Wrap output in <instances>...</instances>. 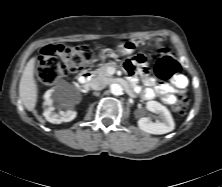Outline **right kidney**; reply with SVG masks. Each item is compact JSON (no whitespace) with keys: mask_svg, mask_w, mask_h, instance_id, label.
Listing matches in <instances>:
<instances>
[{"mask_svg":"<svg viewBox=\"0 0 222 187\" xmlns=\"http://www.w3.org/2000/svg\"><path fill=\"white\" fill-rule=\"evenodd\" d=\"M44 106H46V109L43 113L46 120L48 122L54 123V124H60L62 122H69L72 121L77 113L73 110H66V111H59L58 113H55V108L52 106L53 100H59L62 101V98L58 95V93L55 90H49L44 95Z\"/></svg>","mask_w":222,"mask_h":187,"instance_id":"ca27d5eb","label":"right kidney"}]
</instances>
